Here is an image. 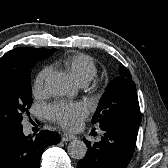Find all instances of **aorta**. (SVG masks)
Masks as SVG:
<instances>
[{
    "label": "aorta",
    "mask_w": 168,
    "mask_h": 168,
    "mask_svg": "<svg viewBox=\"0 0 168 168\" xmlns=\"http://www.w3.org/2000/svg\"><path fill=\"white\" fill-rule=\"evenodd\" d=\"M48 91L58 97L68 96L74 89L71 77L65 72H54L46 80ZM86 144L81 140H73L68 145V154L73 159H83L86 155Z\"/></svg>",
    "instance_id": "aorta-1"
}]
</instances>
